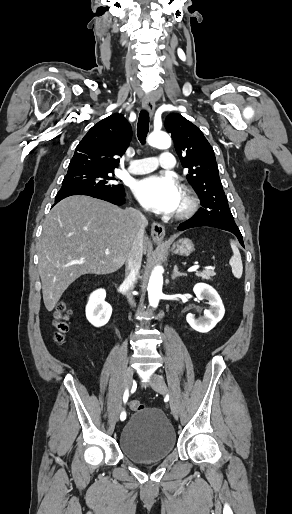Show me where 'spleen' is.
Wrapping results in <instances>:
<instances>
[{"instance_id": "obj_1", "label": "spleen", "mask_w": 292, "mask_h": 514, "mask_svg": "<svg viewBox=\"0 0 292 514\" xmlns=\"http://www.w3.org/2000/svg\"><path fill=\"white\" fill-rule=\"evenodd\" d=\"M230 246L232 248L233 256L230 258V266L232 268V274L235 278H241L243 274V264L241 260V254L234 242H230Z\"/></svg>"}]
</instances>
